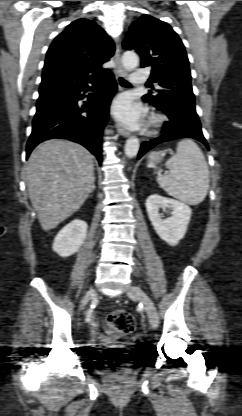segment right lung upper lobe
Here are the masks:
<instances>
[{"label": "right lung upper lobe", "mask_w": 242, "mask_h": 416, "mask_svg": "<svg viewBox=\"0 0 242 416\" xmlns=\"http://www.w3.org/2000/svg\"><path fill=\"white\" fill-rule=\"evenodd\" d=\"M115 46L104 30L88 19L69 24L52 42L45 60L39 93L90 83L110 73L101 66Z\"/></svg>", "instance_id": "cb5924a9"}]
</instances>
